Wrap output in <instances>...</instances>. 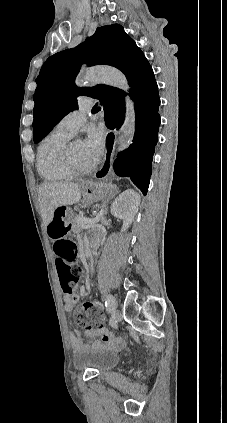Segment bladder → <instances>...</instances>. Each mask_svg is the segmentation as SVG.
<instances>
[{
    "label": "bladder",
    "instance_id": "31cf9c89",
    "mask_svg": "<svg viewBox=\"0 0 227 423\" xmlns=\"http://www.w3.org/2000/svg\"><path fill=\"white\" fill-rule=\"evenodd\" d=\"M78 369L92 368L97 373L113 369L121 362V355L110 349L89 348L74 356Z\"/></svg>",
    "mask_w": 227,
    "mask_h": 423
}]
</instances>
